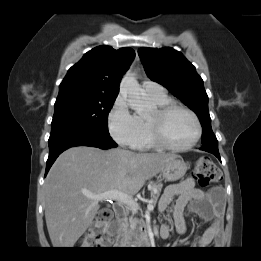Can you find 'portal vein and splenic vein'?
<instances>
[{"label":"portal vein and splenic vein","mask_w":261,"mask_h":261,"mask_svg":"<svg viewBox=\"0 0 261 261\" xmlns=\"http://www.w3.org/2000/svg\"><path fill=\"white\" fill-rule=\"evenodd\" d=\"M86 196L88 198L96 200V201L116 200V201L126 204L132 210H136L138 208V203L135 202L130 195L123 193L121 191H118V190H111V191L103 192L100 194H87ZM147 209L149 211H153L154 205L152 202H149Z\"/></svg>","instance_id":"18ae733b"}]
</instances>
